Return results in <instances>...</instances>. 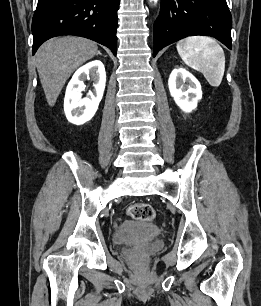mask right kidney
I'll return each instance as SVG.
<instances>
[{
	"mask_svg": "<svg viewBox=\"0 0 261 306\" xmlns=\"http://www.w3.org/2000/svg\"><path fill=\"white\" fill-rule=\"evenodd\" d=\"M89 77L94 81V92L82 98L84 81ZM105 83V68L99 60L83 65L74 73L66 88L64 99V111L69 122L82 125L92 119L102 99Z\"/></svg>",
	"mask_w": 261,
	"mask_h": 306,
	"instance_id": "right-kidney-1",
	"label": "right kidney"
}]
</instances>
